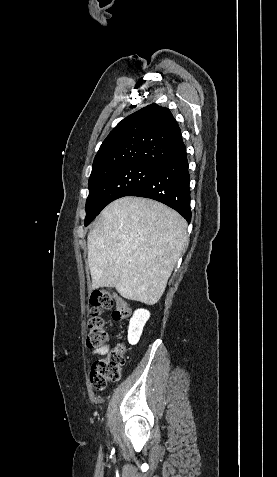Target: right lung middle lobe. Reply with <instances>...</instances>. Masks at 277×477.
Here are the masks:
<instances>
[{
    "label": "right lung middle lobe",
    "instance_id": "obj_1",
    "mask_svg": "<svg viewBox=\"0 0 277 477\" xmlns=\"http://www.w3.org/2000/svg\"><path fill=\"white\" fill-rule=\"evenodd\" d=\"M157 166L128 163L108 170L92 173L89 178V196L86 201L85 226L110 202L127 196L146 181Z\"/></svg>",
    "mask_w": 277,
    "mask_h": 477
}]
</instances>
